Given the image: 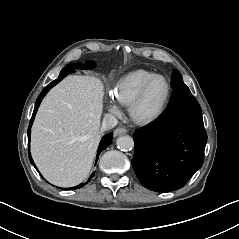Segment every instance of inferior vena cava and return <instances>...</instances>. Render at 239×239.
Instances as JSON below:
<instances>
[{
	"instance_id": "602c4592",
	"label": "inferior vena cava",
	"mask_w": 239,
	"mask_h": 239,
	"mask_svg": "<svg viewBox=\"0 0 239 239\" xmlns=\"http://www.w3.org/2000/svg\"><path fill=\"white\" fill-rule=\"evenodd\" d=\"M117 123L118 121L114 115L106 114L102 122L101 131L112 129L117 125Z\"/></svg>"
}]
</instances>
